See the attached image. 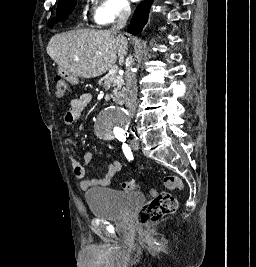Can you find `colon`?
<instances>
[{"label": "colon", "instance_id": "1", "mask_svg": "<svg viewBox=\"0 0 256 267\" xmlns=\"http://www.w3.org/2000/svg\"><path fill=\"white\" fill-rule=\"evenodd\" d=\"M55 91L59 97L70 94V82L65 81L64 77L55 76ZM165 185L168 189L182 190L183 182L175 175H165ZM121 188L125 191H138V184L136 182H122ZM152 195H156L157 188H151ZM148 203L143 205L137 212V223L141 224V228H151L150 222H157L161 218L173 214L177 209V200L171 193H164L159 197H152Z\"/></svg>", "mask_w": 256, "mask_h": 267}]
</instances>
